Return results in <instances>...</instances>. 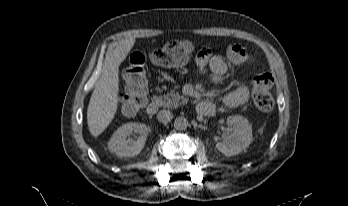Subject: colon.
<instances>
[{"label":"colon","instance_id":"5ec220e1","mask_svg":"<svg viewBox=\"0 0 348 206\" xmlns=\"http://www.w3.org/2000/svg\"><path fill=\"white\" fill-rule=\"evenodd\" d=\"M187 58V45L178 41L167 42L150 54V60L154 65L172 68L182 66ZM146 60V55L143 52H134L129 56L123 74L126 90L120 100V108L127 115L136 114L145 105L147 94ZM251 81L255 106L263 112L271 111L274 106L271 94L272 76L268 73H257L252 76Z\"/></svg>","mask_w":348,"mask_h":206}]
</instances>
